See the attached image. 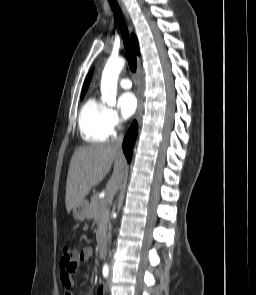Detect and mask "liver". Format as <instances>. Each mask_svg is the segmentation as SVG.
<instances>
[{"label":"liver","instance_id":"1","mask_svg":"<svg viewBox=\"0 0 256 295\" xmlns=\"http://www.w3.org/2000/svg\"><path fill=\"white\" fill-rule=\"evenodd\" d=\"M113 163L114 171L106 186L110 195L118 191L123 179L125 158L122 151L112 144H92L74 151L66 182L65 205L68 213L84 202L85 196L105 178Z\"/></svg>","mask_w":256,"mask_h":295}]
</instances>
